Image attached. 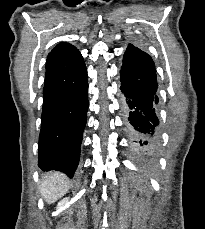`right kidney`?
I'll return each instance as SVG.
<instances>
[{
    "label": "right kidney",
    "mask_w": 205,
    "mask_h": 229,
    "mask_svg": "<svg viewBox=\"0 0 205 229\" xmlns=\"http://www.w3.org/2000/svg\"><path fill=\"white\" fill-rule=\"evenodd\" d=\"M67 202H68V199L67 198L66 199H63L62 201H60L58 203V205H57V209L58 210L63 209L65 207V205L67 204Z\"/></svg>",
    "instance_id": "right-kidney-1"
}]
</instances>
